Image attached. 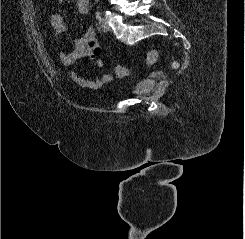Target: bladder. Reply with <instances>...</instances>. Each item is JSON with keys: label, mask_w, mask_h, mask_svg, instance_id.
I'll return each instance as SVG.
<instances>
[{"label": "bladder", "mask_w": 245, "mask_h": 239, "mask_svg": "<svg viewBox=\"0 0 245 239\" xmlns=\"http://www.w3.org/2000/svg\"><path fill=\"white\" fill-rule=\"evenodd\" d=\"M155 87L153 80H140L135 83L128 92L129 96H140L152 90Z\"/></svg>", "instance_id": "31cf9c89"}]
</instances>
